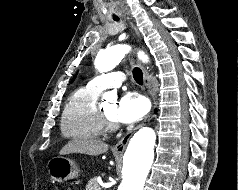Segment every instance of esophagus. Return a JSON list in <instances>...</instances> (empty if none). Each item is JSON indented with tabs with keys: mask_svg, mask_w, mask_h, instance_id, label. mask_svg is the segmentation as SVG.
Returning <instances> with one entry per match:
<instances>
[{
	"mask_svg": "<svg viewBox=\"0 0 238 190\" xmlns=\"http://www.w3.org/2000/svg\"><path fill=\"white\" fill-rule=\"evenodd\" d=\"M130 26L133 28V30L135 31V34L137 35V37H140V33L138 31V29L135 27V25L130 22ZM140 67L142 69V72H143V78H144V84L145 86L147 87L151 97H152V100H153V104H154V107L156 106V99H155V94L153 92V89H152V86H151V82H150V78H149V74H148V71L147 69L142 65L140 64ZM154 116V113L153 111L144 119V121L139 124L137 127H135L133 130H131L130 132H128L124 137H122V139L116 143L113 147V150L118 152V153H122L124 152L126 146L128 145V142L130 141V138L133 136V134L139 129L141 128L143 125H145L146 123H148Z\"/></svg>",
	"mask_w": 238,
	"mask_h": 190,
	"instance_id": "esophagus-1",
	"label": "esophagus"
}]
</instances>
